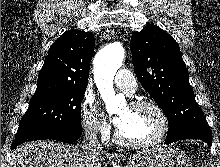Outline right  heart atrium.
I'll return each mask as SVG.
<instances>
[{
	"label": "right heart atrium",
	"mask_w": 220,
	"mask_h": 167,
	"mask_svg": "<svg viewBox=\"0 0 220 167\" xmlns=\"http://www.w3.org/2000/svg\"><path fill=\"white\" fill-rule=\"evenodd\" d=\"M81 123L89 136L106 139L110 133V125L94 99L88 95L81 102Z\"/></svg>",
	"instance_id": "right-heart-atrium-1"
}]
</instances>
